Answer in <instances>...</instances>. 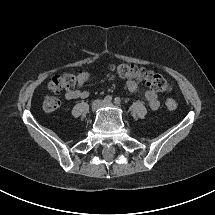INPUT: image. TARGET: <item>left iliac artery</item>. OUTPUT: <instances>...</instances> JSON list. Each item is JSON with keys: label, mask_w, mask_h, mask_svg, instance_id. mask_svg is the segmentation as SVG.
Instances as JSON below:
<instances>
[{"label": "left iliac artery", "mask_w": 215, "mask_h": 215, "mask_svg": "<svg viewBox=\"0 0 215 215\" xmlns=\"http://www.w3.org/2000/svg\"><path fill=\"white\" fill-rule=\"evenodd\" d=\"M115 104L120 105L121 104V100L119 97L115 98Z\"/></svg>", "instance_id": "obj_1"}]
</instances>
